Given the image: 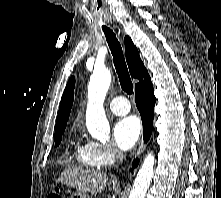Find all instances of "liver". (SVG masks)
<instances>
[{"label": "liver", "mask_w": 221, "mask_h": 198, "mask_svg": "<svg viewBox=\"0 0 221 198\" xmlns=\"http://www.w3.org/2000/svg\"><path fill=\"white\" fill-rule=\"evenodd\" d=\"M107 182L108 177L105 173L79 168L64 170L57 180V183L75 188L79 192L95 194L102 192Z\"/></svg>", "instance_id": "obj_1"}]
</instances>
